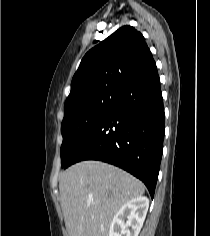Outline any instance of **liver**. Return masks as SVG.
<instances>
[{"label": "liver", "mask_w": 210, "mask_h": 236, "mask_svg": "<svg viewBox=\"0 0 210 236\" xmlns=\"http://www.w3.org/2000/svg\"><path fill=\"white\" fill-rule=\"evenodd\" d=\"M59 191L69 236H108L115 214L145 187L113 165L83 161L61 174Z\"/></svg>", "instance_id": "6515ba94"}]
</instances>
